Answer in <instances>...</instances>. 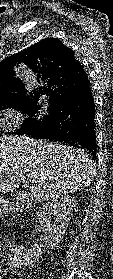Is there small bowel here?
I'll list each match as a JSON object with an SVG mask.
<instances>
[{
  "label": "small bowel",
  "instance_id": "small-bowel-1",
  "mask_svg": "<svg viewBox=\"0 0 113 279\" xmlns=\"http://www.w3.org/2000/svg\"><path fill=\"white\" fill-rule=\"evenodd\" d=\"M22 265V262L21 261H19L17 258H14V260H12L10 263H9V266L10 267H19V266H21ZM0 279H2V277H1V274H0Z\"/></svg>",
  "mask_w": 113,
  "mask_h": 279
}]
</instances>
